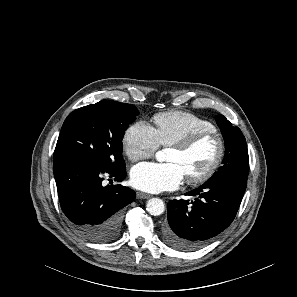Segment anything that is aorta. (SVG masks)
Instances as JSON below:
<instances>
[{
	"instance_id": "762f6f07",
	"label": "aorta",
	"mask_w": 297,
	"mask_h": 297,
	"mask_svg": "<svg viewBox=\"0 0 297 297\" xmlns=\"http://www.w3.org/2000/svg\"><path fill=\"white\" fill-rule=\"evenodd\" d=\"M156 158L158 161H162L164 159V153L162 151H158L156 153ZM146 210L153 216L161 215L165 210L164 202L159 198H152L148 200Z\"/></svg>"
}]
</instances>
